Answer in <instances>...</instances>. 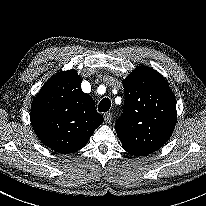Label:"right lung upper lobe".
I'll return each instance as SVG.
<instances>
[{
	"label": "right lung upper lobe",
	"mask_w": 206,
	"mask_h": 206,
	"mask_svg": "<svg viewBox=\"0 0 206 206\" xmlns=\"http://www.w3.org/2000/svg\"><path fill=\"white\" fill-rule=\"evenodd\" d=\"M75 70L50 78L31 105L32 127L43 144L59 153L83 148L103 122L91 96L81 89Z\"/></svg>",
	"instance_id": "cb5924a9"
}]
</instances>
